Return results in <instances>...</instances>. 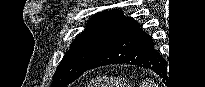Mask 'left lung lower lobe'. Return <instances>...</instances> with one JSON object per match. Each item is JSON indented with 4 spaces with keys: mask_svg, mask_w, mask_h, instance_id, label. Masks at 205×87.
I'll return each mask as SVG.
<instances>
[{
    "mask_svg": "<svg viewBox=\"0 0 205 87\" xmlns=\"http://www.w3.org/2000/svg\"><path fill=\"white\" fill-rule=\"evenodd\" d=\"M118 63L148 68L163 77L166 73V61L155 51L153 39L131 17L124 18L87 70Z\"/></svg>",
    "mask_w": 205,
    "mask_h": 87,
    "instance_id": "left-lung-lower-lobe-1",
    "label": "left lung lower lobe"
}]
</instances>
